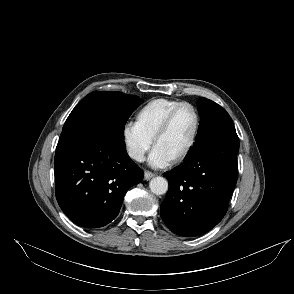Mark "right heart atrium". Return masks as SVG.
I'll use <instances>...</instances> for the list:
<instances>
[{"label":"right heart atrium","mask_w":294,"mask_h":294,"mask_svg":"<svg viewBox=\"0 0 294 294\" xmlns=\"http://www.w3.org/2000/svg\"><path fill=\"white\" fill-rule=\"evenodd\" d=\"M122 141L127 155L135 162H141L152 144L136 122H126L121 130Z\"/></svg>","instance_id":"d8ad5b80"}]
</instances>
